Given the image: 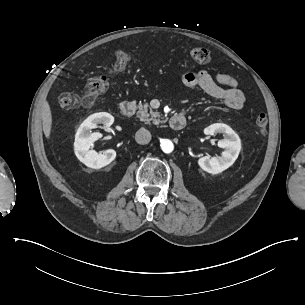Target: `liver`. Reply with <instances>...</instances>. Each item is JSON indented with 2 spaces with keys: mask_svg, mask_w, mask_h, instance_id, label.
I'll return each mask as SVG.
<instances>
[{
  "mask_svg": "<svg viewBox=\"0 0 305 305\" xmlns=\"http://www.w3.org/2000/svg\"><path fill=\"white\" fill-rule=\"evenodd\" d=\"M43 131L48 141L52 138L53 116L51 106L48 100L44 101L42 107Z\"/></svg>",
  "mask_w": 305,
  "mask_h": 305,
  "instance_id": "1",
  "label": "liver"
}]
</instances>
